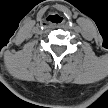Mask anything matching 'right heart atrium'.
<instances>
[{"label":"right heart atrium","mask_w":108,"mask_h":108,"mask_svg":"<svg viewBox=\"0 0 108 108\" xmlns=\"http://www.w3.org/2000/svg\"><path fill=\"white\" fill-rule=\"evenodd\" d=\"M10 41H11V42H15V41H16L15 37H12V38L10 39Z\"/></svg>","instance_id":"obj_1"}]
</instances>
